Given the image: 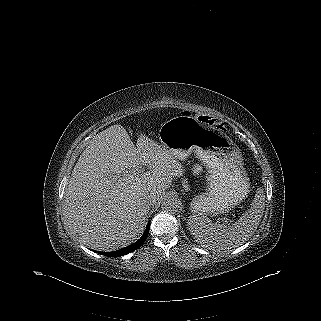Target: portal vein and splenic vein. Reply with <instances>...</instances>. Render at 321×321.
Here are the masks:
<instances>
[{
	"mask_svg": "<svg viewBox=\"0 0 321 321\" xmlns=\"http://www.w3.org/2000/svg\"><path fill=\"white\" fill-rule=\"evenodd\" d=\"M136 172H137V173L144 172V169H143L141 166H139V167L136 169ZM225 222H227V221H225Z\"/></svg>",
	"mask_w": 321,
	"mask_h": 321,
	"instance_id": "18ae733b",
	"label": "portal vein and splenic vein"
}]
</instances>
